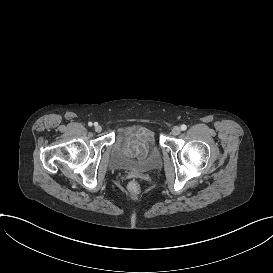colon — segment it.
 Segmentation results:
<instances>
[{"label":"colon","mask_w":273,"mask_h":273,"mask_svg":"<svg viewBox=\"0 0 273 273\" xmlns=\"http://www.w3.org/2000/svg\"><path fill=\"white\" fill-rule=\"evenodd\" d=\"M123 191L128 198L134 199L141 194L142 188L137 181L131 180L124 185Z\"/></svg>","instance_id":"obj_1"}]
</instances>
